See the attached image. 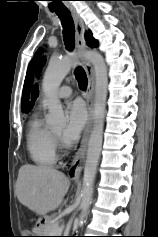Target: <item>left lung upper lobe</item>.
Segmentation results:
<instances>
[{"instance_id":"1","label":"left lung upper lobe","mask_w":158,"mask_h":237,"mask_svg":"<svg viewBox=\"0 0 158 237\" xmlns=\"http://www.w3.org/2000/svg\"><path fill=\"white\" fill-rule=\"evenodd\" d=\"M90 40V41H89ZM88 44H90L91 47H96L98 42L92 38V35L90 33V38H87ZM34 61L31 62V64L28 67L27 75L25 78V83L23 87V94H22V109L24 107V103L28 98L29 91H30V86H31V81H32V69H33Z\"/></svg>"}]
</instances>
